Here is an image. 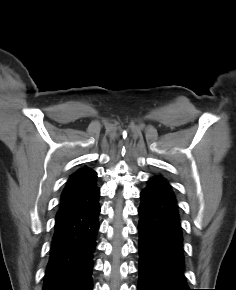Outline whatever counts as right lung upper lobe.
Masks as SVG:
<instances>
[{"mask_svg":"<svg viewBox=\"0 0 236 290\" xmlns=\"http://www.w3.org/2000/svg\"><path fill=\"white\" fill-rule=\"evenodd\" d=\"M96 177V172L87 167L75 172L68 179L62 192L61 205L57 216L80 208L96 198L99 193L95 181Z\"/></svg>","mask_w":236,"mask_h":290,"instance_id":"cb5924a9","label":"right lung upper lobe"}]
</instances>
